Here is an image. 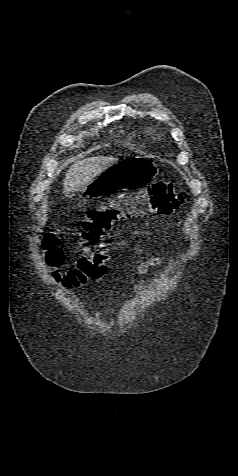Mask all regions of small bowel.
<instances>
[{"label": "small bowel", "instance_id": "small-bowel-1", "mask_svg": "<svg viewBox=\"0 0 238 476\" xmlns=\"http://www.w3.org/2000/svg\"><path fill=\"white\" fill-rule=\"evenodd\" d=\"M127 244L128 243L124 238H120L111 245L110 249L112 252H119L123 250L127 246ZM134 249L139 256V260L136 266V272L139 276H142L145 273H147V271L152 267H159L163 265L164 261L161 257L157 256V257L146 258L144 249L139 244L135 243ZM132 283L138 293L144 292L146 288L145 281L140 280L138 282H132Z\"/></svg>", "mask_w": 238, "mask_h": 476}]
</instances>
